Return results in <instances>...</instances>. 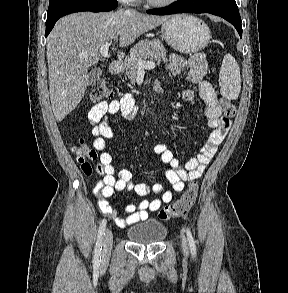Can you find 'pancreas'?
<instances>
[{
  "label": "pancreas",
  "mask_w": 288,
  "mask_h": 293,
  "mask_svg": "<svg viewBox=\"0 0 288 293\" xmlns=\"http://www.w3.org/2000/svg\"><path fill=\"white\" fill-rule=\"evenodd\" d=\"M166 57V49L162 42L158 39L153 40H141L130 50V55L125 57L123 61V67L125 70V76L131 81L135 79L138 71V60H146L150 58L153 61H161Z\"/></svg>",
  "instance_id": "cf45deb5"
}]
</instances>
